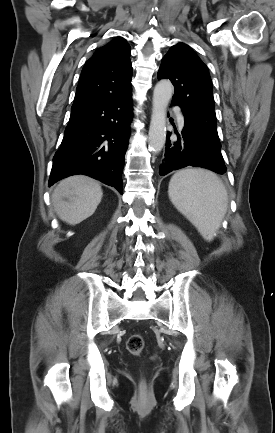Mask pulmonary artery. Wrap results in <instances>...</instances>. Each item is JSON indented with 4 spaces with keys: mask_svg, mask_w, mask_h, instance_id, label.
<instances>
[{
    "mask_svg": "<svg viewBox=\"0 0 275 433\" xmlns=\"http://www.w3.org/2000/svg\"><path fill=\"white\" fill-rule=\"evenodd\" d=\"M174 109H175V107L172 108V110H174ZM177 119H178L179 125L183 126V124H184V116L182 114H179L178 117H177Z\"/></svg>",
    "mask_w": 275,
    "mask_h": 433,
    "instance_id": "obj_1",
    "label": "pulmonary artery"
}]
</instances>
